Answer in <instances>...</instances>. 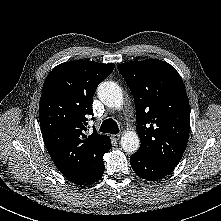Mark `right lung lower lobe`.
I'll list each match as a JSON object with an SVG mask.
<instances>
[{
  "label": "right lung lower lobe",
  "instance_id": "obj_1",
  "mask_svg": "<svg viewBox=\"0 0 221 221\" xmlns=\"http://www.w3.org/2000/svg\"><path fill=\"white\" fill-rule=\"evenodd\" d=\"M104 169H105V167L99 172V174L89 183V184H87V185H90V184H93L94 182H96V181H98L101 177H102V175H103V173H104ZM86 185V186H87Z\"/></svg>",
  "mask_w": 221,
  "mask_h": 221
}]
</instances>
